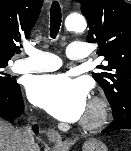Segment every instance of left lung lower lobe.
<instances>
[{
	"label": "left lung lower lobe",
	"mask_w": 131,
	"mask_h": 151,
	"mask_svg": "<svg viewBox=\"0 0 131 151\" xmlns=\"http://www.w3.org/2000/svg\"><path fill=\"white\" fill-rule=\"evenodd\" d=\"M120 129H131V112H126L122 116L114 117L113 122L105 128L102 133H110Z\"/></svg>",
	"instance_id": "0a47b994"
}]
</instances>
